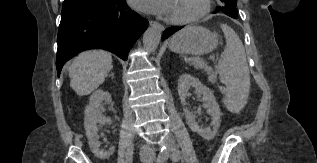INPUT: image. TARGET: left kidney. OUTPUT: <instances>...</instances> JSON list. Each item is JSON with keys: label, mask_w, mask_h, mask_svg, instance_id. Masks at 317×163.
Returning <instances> with one entry per match:
<instances>
[{"label": "left kidney", "mask_w": 317, "mask_h": 163, "mask_svg": "<svg viewBox=\"0 0 317 163\" xmlns=\"http://www.w3.org/2000/svg\"><path fill=\"white\" fill-rule=\"evenodd\" d=\"M191 87L195 89L196 93L203 95V106L207 108L208 114L212 116L211 126L213 128H201L195 121V115H193L188 108L184 107L186 123L193 132L198 133L206 140H211L216 136L221 123L220 118L222 113L220 107L216 102L213 92L203 85L197 78L187 73L182 74L178 80V94L183 106L186 105V97L188 96Z\"/></svg>", "instance_id": "5707ae66"}]
</instances>
